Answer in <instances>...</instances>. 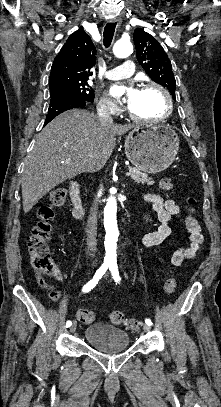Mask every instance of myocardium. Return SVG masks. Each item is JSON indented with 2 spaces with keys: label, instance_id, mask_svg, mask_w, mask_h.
I'll return each mask as SVG.
<instances>
[{
  "label": "myocardium",
  "instance_id": "myocardium-1",
  "mask_svg": "<svg viewBox=\"0 0 221 407\" xmlns=\"http://www.w3.org/2000/svg\"><path fill=\"white\" fill-rule=\"evenodd\" d=\"M151 88H155L163 94V96L165 98V103H166L165 113L159 118L146 119V118L138 117L129 109L128 112H129L130 117L137 123H142V124L162 123L170 117V115L173 111V100H172V96H171L170 92L168 91V89L159 83L148 82V83H145L144 85H142L141 90H148Z\"/></svg>",
  "mask_w": 221,
  "mask_h": 407
}]
</instances>
